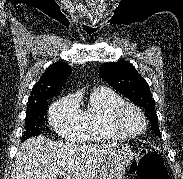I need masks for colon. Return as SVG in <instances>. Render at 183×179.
Instances as JSON below:
<instances>
[{
	"mask_svg": "<svg viewBox=\"0 0 183 179\" xmlns=\"http://www.w3.org/2000/svg\"><path fill=\"white\" fill-rule=\"evenodd\" d=\"M132 171L137 179H168L167 169L161 156L151 150H140Z\"/></svg>",
	"mask_w": 183,
	"mask_h": 179,
	"instance_id": "5ec220e1",
	"label": "colon"
}]
</instances>
